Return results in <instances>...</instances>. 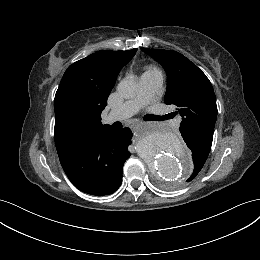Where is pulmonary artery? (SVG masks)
Instances as JSON below:
<instances>
[{
    "instance_id": "e3ab8cb5",
    "label": "pulmonary artery",
    "mask_w": 260,
    "mask_h": 260,
    "mask_svg": "<svg viewBox=\"0 0 260 260\" xmlns=\"http://www.w3.org/2000/svg\"><path fill=\"white\" fill-rule=\"evenodd\" d=\"M163 83V75L160 71H154L141 76V90L132 100L126 101L120 107L112 110L108 116V122L125 120L134 115L141 107L148 104L159 92ZM181 117L177 118L175 125L179 126Z\"/></svg>"
}]
</instances>
